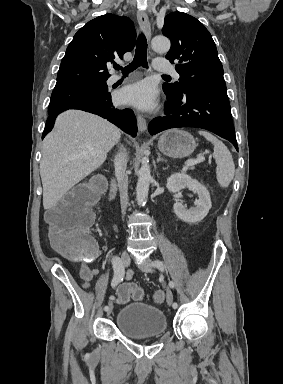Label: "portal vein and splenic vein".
Masks as SVG:
<instances>
[{"label": "portal vein and splenic vein", "mask_w": 283, "mask_h": 384, "mask_svg": "<svg viewBox=\"0 0 283 384\" xmlns=\"http://www.w3.org/2000/svg\"><path fill=\"white\" fill-rule=\"evenodd\" d=\"M205 158L203 156H199V158H196V160H187L185 162V166H195V164H200V162H204Z\"/></svg>", "instance_id": "18ae733b"}]
</instances>
